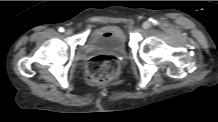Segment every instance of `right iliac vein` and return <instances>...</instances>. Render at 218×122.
I'll use <instances>...</instances> for the list:
<instances>
[{"label": "right iliac vein", "instance_id": "63e3f726", "mask_svg": "<svg viewBox=\"0 0 218 122\" xmlns=\"http://www.w3.org/2000/svg\"><path fill=\"white\" fill-rule=\"evenodd\" d=\"M71 33H72V31H71L70 29H66V30H65V35H68V36H69V35H71Z\"/></svg>", "mask_w": 218, "mask_h": 122}]
</instances>
